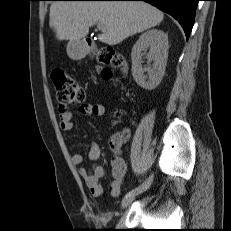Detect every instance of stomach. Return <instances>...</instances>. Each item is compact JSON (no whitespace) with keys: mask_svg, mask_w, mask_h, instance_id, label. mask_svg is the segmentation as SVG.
I'll list each match as a JSON object with an SVG mask.
<instances>
[{"mask_svg":"<svg viewBox=\"0 0 231 231\" xmlns=\"http://www.w3.org/2000/svg\"><path fill=\"white\" fill-rule=\"evenodd\" d=\"M85 48L82 45V42L70 41L67 45V54L72 59H80L85 55Z\"/></svg>","mask_w":231,"mask_h":231,"instance_id":"obj_1","label":"stomach"}]
</instances>
